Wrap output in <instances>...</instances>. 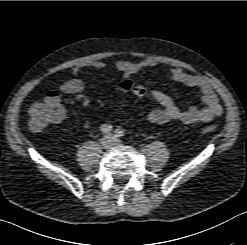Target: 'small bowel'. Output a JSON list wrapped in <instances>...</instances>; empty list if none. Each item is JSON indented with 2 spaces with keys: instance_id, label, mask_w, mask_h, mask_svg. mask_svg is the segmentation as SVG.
<instances>
[{
  "instance_id": "c3829d8e",
  "label": "small bowel",
  "mask_w": 247,
  "mask_h": 245,
  "mask_svg": "<svg viewBox=\"0 0 247 245\" xmlns=\"http://www.w3.org/2000/svg\"><path fill=\"white\" fill-rule=\"evenodd\" d=\"M156 64L157 62L151 58L138 62L121 60L115 63V69L123 78H129L137 72L155 66ZM86 67L104 69L107 67V63L102 60H92L74 66L72 73L75 77L61 83L58 91H49L44 100L48 103L53 102L61 106L60 93H63L73 95L84 106L89 105L90 100L85 95V83L77 77L80 71ZM169 76L176 83L198 89L201 94V103L204 106L200 107L194 104L187 108H180L168 94L159 90H147L145 95L138 96L149 98L159 105L147 113V119L150 122L164 124L172 120H177L184 124H194L198 122H210L222 114L223 108L219 97L206 79L189 74L179 66H171Z\"/></svg>"
}]
</instances>
